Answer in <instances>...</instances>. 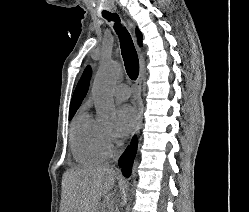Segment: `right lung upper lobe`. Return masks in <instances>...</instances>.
<instances>
[{
    "mask_svg": "<svg viewBox=\"0 0 249 212\" xmlns=\"http://www.w3.org/2000/svg\"><path fill=\"white\" fill-rule=\"evenodd\" d=\"M136 34H137V38H138L139 43H141L142 35L138 29L136 30ZM91 74H92L91 67L88 66L86 68V70L84 71V73L81 77V80L79 81V83L76 87L73 98L71 100L69 111H77V109L81 105L84 97L87 94L88 88H89Z\"/></svg>",
    "mask_w": 249,
    "mask_h": 212,
    "instance_id": "cb5924a9",
    "label": "right lung upper lobe"
}]
</instances>
